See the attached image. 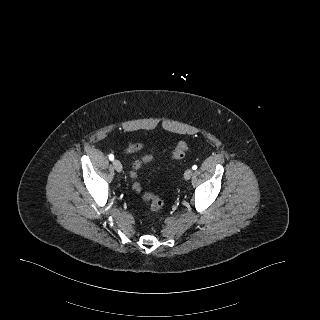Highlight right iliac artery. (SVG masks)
Masks as SVG:
<instances>
[{"label":"right iliac artery","mask_w":320,"mask_h":320,"mask_svg":"<svg viewBox=\"0 0 320 320\" xmlns=\"http://www.w3.org/2000/svg\"><path fill=\"white\" fill-rule=\"evenodd\" d=\"M109 159L112 161L114 159V155L113 154H110L109 155Z\"/></svg>","instance_id":"1"}]
</instances>
